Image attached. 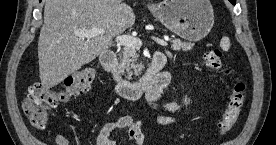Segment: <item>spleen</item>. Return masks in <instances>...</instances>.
I'll return each mask as SVG.
<instances>
[{"instance_id":"spleen-1","label":"spleen","mask_w":276,"mask_h":145,"mask_svg":"<svg viewBox=\"0 0 276 145\" xmlns=\"http://www.w3.org/2000/svg\"><path fill=\"white\" fill-rule=\"evenodd\" d=\"M220 46L224 51H228L230 48V39L225 36L220 41Z\"/></svg>"}]
</instances>
